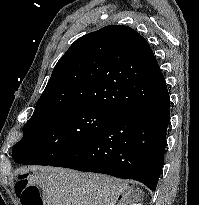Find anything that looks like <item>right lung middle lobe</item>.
Masks as SVG:
<instances>
[{
    "label": "right lung middle lobe",
    "instance_id": "dd1d6c3e",
    "mask_svg": "<svg viewBox=\"0 0 199 205\" xmlns=\"http://www.w3.org/2000/svg\"><path fill=\"white\" fill-rule=\"evenodd\" d=\"M114 117L88 105L35 110L23 127L22 140L12 148V158L22 165H50L91 141Z\"/></svg>",
    "mask_w": 199,
    "mask_h": 205
}]
</instances>
